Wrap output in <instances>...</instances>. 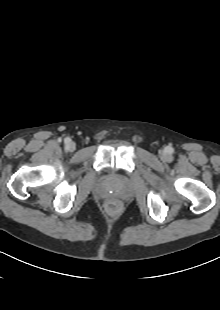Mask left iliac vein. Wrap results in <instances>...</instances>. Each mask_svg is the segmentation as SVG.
Instances as JSON below:
<instances>
[{
  "label": "left iliac vein",
  "mask_w": 220,
  "mask_h": 310,
  "mask_svg": "<svg viewBox=\"0 0 220 310\" xmlns=\"http://www.w3.org/2000/svg\"><path fill=\"white\" fill-rule=\"evenodd\" d=\"M161 157L164 159V160H167L169 158V155L166 154V153H161Z\"/></svg>",
  "instance_id": "obj_1"
}]
</instances>
